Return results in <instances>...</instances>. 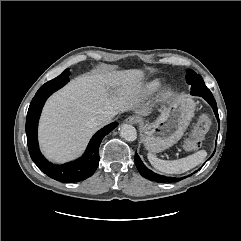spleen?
<instances>
[{"instance_id": "obj_1", "label": "spleen", "mask_w": 241, "mask_h": 241, "mask_svg": "<svg viewBox=\"0 0 241 241\" xmlns=\"http://www.w3.org/2000/svg\"><path fill=\"white\" fill-rule=\"evenodd\" d=\"M207 156L205 150H200L185 158H181L173 161L161 160L152 154H148V160L151 165L158 171L166 174H180L184 173L200 163H202Z\"/></svg>"}]
</instances>
